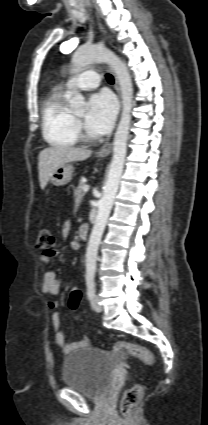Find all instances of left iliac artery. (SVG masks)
<instances>
[{"label":"left iliac artery","mask_w":208,"mask_h":425,"mask_svg":"<svg viewBox=\"0 0 208 425\" xmlns=\"http://www.w3.org/2000/svg\"><path fill=\"white\" fill-rule=\"evenodd\" d=\"M87 296L91 300L95 296V281L93 278L86 281Z\"/></svg>","instance_id":"obj_1"}]
</instances>
